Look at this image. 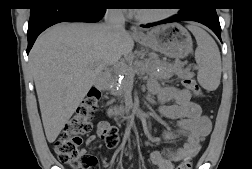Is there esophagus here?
<instances>
[{
	"label": "esophagus",
	"instance_id": "34e87169",
	"mask_svg": "<svg viewBox=\"0 0 252 169\" xmlns=\"http://www.w3.org/2000/svg\"><path fill=\"white\" fill-rule=\"evenodd\" d=\"M132 35H141L142 32L137 28V26H131L130 28Z\"/></svg>",
	"mask_w": 252,
	"mask_h": 169
}]
</instances>
